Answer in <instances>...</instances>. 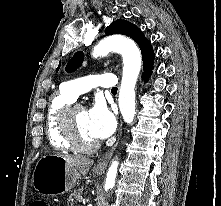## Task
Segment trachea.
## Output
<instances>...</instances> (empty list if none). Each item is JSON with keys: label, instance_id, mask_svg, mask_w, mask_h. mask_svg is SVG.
<instances>
[{"label": "trachea", "instance_id": "1", "mask_svg": "<svg viewBox=\"0 0 221 206\" xmlns=\"http://www.w3.org/2000/svg\"><path fill=\"white\" fill-rule=\"evenodd\" d=\"M112 92H117V88L116 87H114V88H112V90H111Z\"/></svg>", "mask_w": 221, "mask_h": 206}]
</instances>
